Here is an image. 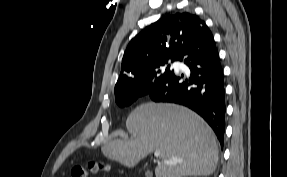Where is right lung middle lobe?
<instances>
[{
    "mask_svg": "<svg viewBox=\"0 0 287 177\" xmlns=\"http://www.w3.org/2000/svg\"><path fill=\"white\" fill-rule=\"evenodd\" d=\"M176 60L160 61L146 71L142 80L133 86L115 87V100L120 107L129 106L139 97L146 95L154 85L168 77L173 70L170 63Z\"/></svg>",
    "mask_w": 287,
    "mask_h": 177,
    "instance_id": "right-lung-middle-lobe-1",
    "label": "right lung middle lobe"
}]
</instances>
